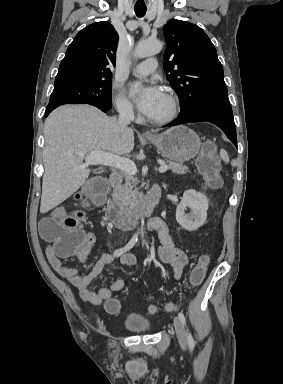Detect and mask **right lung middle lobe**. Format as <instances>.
<instances>
[{
  "instance_id": "obj_1",
  "label": "right lung middle lobe",
  "mask_w": 283,
  "mask_h": 384,
  "mask_svg": "<svg viewBox=\"0 0 283 384\" xmlns=\"http://www.w3.org/2000/svg\"><path fill=\"white\" fill-rule=\"evenodd\" d=\"M111 79L70 83L54 87L47 107L56 108L61 104L86 103L109 105L111 102Z\"/></svg>"
}]
</instances>
